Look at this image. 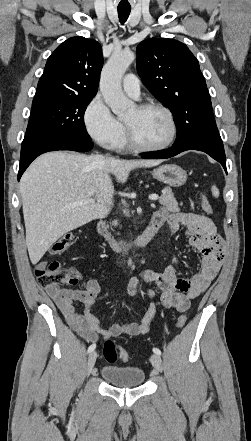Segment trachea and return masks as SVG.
I'll return each mask as SVG.
<instances>
[{"label": "trachea", "mask_w": 251, "mask_h": 441, "mask_svg": "<svg viewBox=\"0 0 251 441\" xmlns=\"http://www.w3.org/2000/svg\"><path fill=\"white\" fill-rule=\"evenodd\" d=\"M131 12V8H118V16L120 22L123 24L128 19Z\"/></svg>", "instance_id": "trachea-1"}]
</instances>
